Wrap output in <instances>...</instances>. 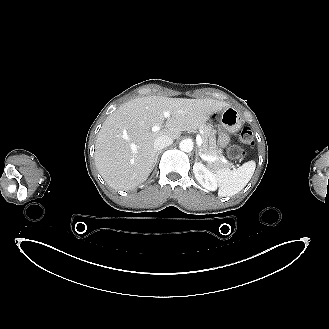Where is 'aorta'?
I'll return each instance as SVG.
<instances>
[{
    "label": "aorta",
    "instance_id": "obj_1",
    "mask_svg": "<svg viewBox=\"0 0 329 329\" xmlns=\"http://www.w3.org/2000/svg\"><path fill=\"white\" fill-rule=\"evenodd\" d=\"M179 147L184 152H191L193 149V142L190 139H184L180 142Z\"/></svg>",
    "mask_w": 329,
    "mask_h": 329
}]
</instances>
